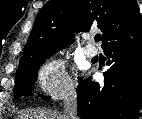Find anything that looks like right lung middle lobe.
I'll list each match as a JSON object with an SVG mask.
<instances>
[{
  "instance_id": "right-lung-middle-lobe-1",
  "label": "right lung middle lobe",
  "mask_w": 142,
  "mask_h": 119,
  "mask_svg": "<svg viewBox=\"0 0 142 119\" xmlns=\"http://www.w3.org/2000/svg\"><path fill=\"white\" fill-rule=\"evenodd\" d=\"M55 53V52H54ZM54 53H49L40 56L30 63L19 67L16 75V82L14 86V95L16 97L29 96L33 90L34 81L37 78V72L40 66ZM44 99H48L43 96Z\"/></svg>"
}]
</instances>
